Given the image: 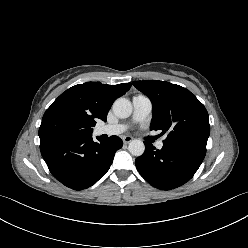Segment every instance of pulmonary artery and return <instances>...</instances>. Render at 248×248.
<instances>
[{
    "mask_svg": "<svg viewBox=\"0 0 248 248\" xmlns=\"http://www.w3.org/2000/svg\"><path fill=\"white\" fill-rule=\"evenodd\" d=\"M133 114L132 120L134 122H142L146 120L151 111H152V102L151 100L143 95L139 94L133 97ZM128 128L125 124H108L98 128L99 134H107V135H118L126 131ZM164 143L162 140L158 141L156 146L158 149H162Z\"/></svg>",
    "mask_w": 248,
    "mask_h": 248,
    "instance_id": "pulmonary-artery-1",
    "label": "pulmonary artery"
}]
</instances>
